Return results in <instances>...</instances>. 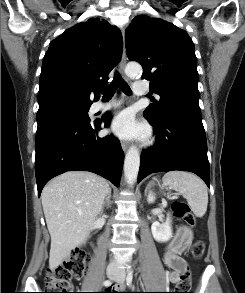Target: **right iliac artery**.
<instances>
[{"label": "right iliac artery", "instance_id": "right-iliac-artery-1", "mask_svg": "<svg viewBox=\"0 0 245 293\" xmlns=\"http://www.w3.org/2000/svg\"><path fill=\"white\" fill-rule=\"evenodd\" d=\"M112 284V281L111 280H105L104 282H103V285L104 286H110Z\"/></svg>", "mask_w": 245, "mask_h": 293}]
</instances>
